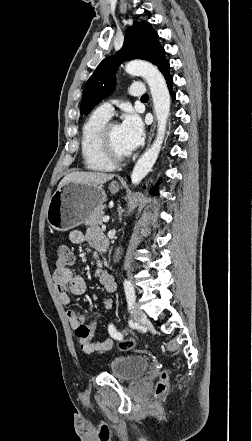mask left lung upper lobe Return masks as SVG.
<instances>
[{
    "label": "left lung upper lobe",
    "mask_w": 252,
    "mask_h": 441,
    "mask_svg": "<svg viewBox=\"0 0 252 441\" xmlns=\"http://www.w3.org/2000/svg\"><path fill=\"white\" fill-rule=\"evenodd\" d=\"M164 52L159 36L150 23L134 21L128 28L123 47L115 56L105 58L86 82L80 106L81 114L87 115L95 105L109 96L115 88L118 65L125 60L143 59L157 65Z\"/></svg>",
    "instance_id": "1"
}]
</instances>
